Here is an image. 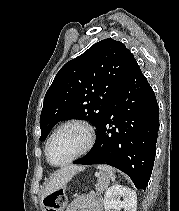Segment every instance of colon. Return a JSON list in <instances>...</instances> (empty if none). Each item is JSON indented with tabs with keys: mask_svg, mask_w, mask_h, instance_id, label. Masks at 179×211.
<instances>
[{
	"mask_svg": "<svg viewBox=\"0 0 179 211\" xmlns=\"http://www.w3.org/2000/svg\"><path fill=\"white\" fill-rule=\"evenodd\" d=\"M66 204V195L62 190L55 191L44 198L46 211H60Z\"/></svg>",
	"mask_w": 179,
	"mask_h": 211,
	"instance_id": "5ec220e1",
	"label": "colon"
}]
</instances>
